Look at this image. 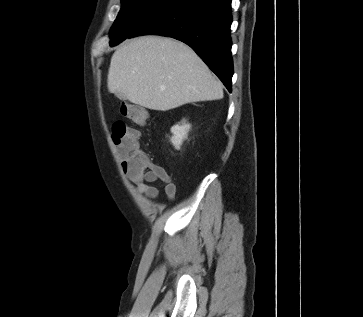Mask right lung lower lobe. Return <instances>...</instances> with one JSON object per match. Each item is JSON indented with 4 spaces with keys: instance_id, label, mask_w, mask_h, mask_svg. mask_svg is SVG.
Wrapping results in <instances>:
<instances>
[{
    "instance_id": "1",
    "label": "right lung lower lobe",
    "mask_w": 363,
    "mask_h": 317,
    "mask_svg": "<svg viewBox=\"0 0 363 317\" xmlns=\"http://www.w3.org/2000/svg\"><path fill=\"white\" fill-rule=\"evenodd\" d=\"M231 0H178L128 38L157 34L189 45L231 92Z\"/></svg>"
}]
</instances>
